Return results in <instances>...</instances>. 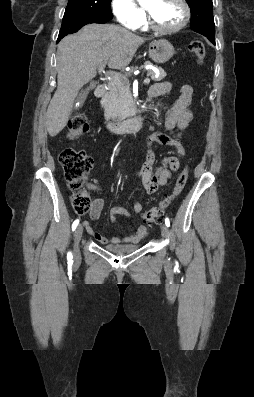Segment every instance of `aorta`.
Masks as SVG:
<instances>
[{
	"label": "aorta",
	"mask_w": 254,
	"mask_h": 397,
	"mask_svg": "<svg viewBox=\"0 0 254 397\" xmlns=\"http://www.w3.org/2000/svg\"><path fill=\"white\" fill-rule=\"evenodd\" d=\"M138 2H140V3H143L145 0H137Z\"/></svg>",
	"instance_id": "1"
}]
</instances>
